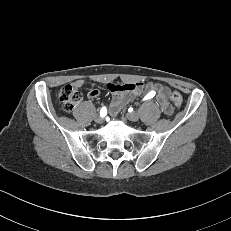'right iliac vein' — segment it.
Here are the masks:
<instances>
[{
	"mask_svg": "<svg viewBox=\"0 0 231 231\" xmlns=\"http://www.w3.org/2000/svg\"><path fill=\"white\" fill-rule=\"evenodd\" d=\"M94 120L97 124H101L103 122V118L99 115H96Z\"/></svg>",
	"mask_w": 231,
	"mask_h": 231,
	"instance_id": "1",
	"label": "right iliac vein"
}]
</instances>
